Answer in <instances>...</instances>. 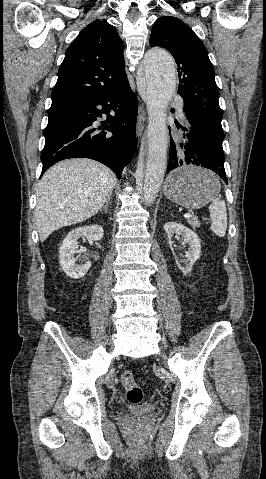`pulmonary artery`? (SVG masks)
Listing matches in <instances>:
<instances>
[{
	"mask_svg": "<svg viewBox=\"0 0 266 479\" xmlns=\"http://www.w3.org/2000/svg\"><path fill=\"white\" fill-rule=\"evenodd\" d=\"M180 116H183L182 108L179 107Z\"/></svg>",
	"mask_w": 266,
	"mask_h": 479,
	"instance_id": "1",
	"label": "pulmonary artery"
}]
</instances>
